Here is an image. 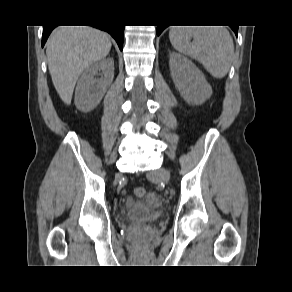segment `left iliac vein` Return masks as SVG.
Segmentation results:
<instances>
[{"instance_id":"4c4485c4","label":"left iliac vein","mask_w":292,"mask_h":292,"mask_svg":"<svg viewBox=\"0 0 292 292\" xmlns=\"http://www.w3.org/2000/svg\"><path fill=\"white\" fill-rule=\"evenodd\" d=\"M152 177L158 178L164 183H168L170 179V174L166 169L160 168L152 172Z\"/></svg>"}]
</instances>
